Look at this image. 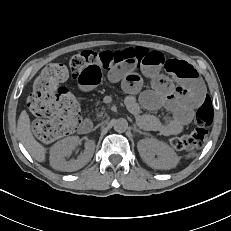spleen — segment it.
<instances>
[{
	"instance_id": "1",
	"label": "spleen",
	"mask_w": 231,
	"mask_h": 231,
	"mask_svg": "<svg viewBox=\"0 0 231 231\" xmlns=\"http://www.w3.org/2000/svg\"><path fill=\"white\" fill-rule=\"evenodd\" d=\"M195 156V152H190L186 155V158H191Z\"/></svg>"
}]
</instances>
